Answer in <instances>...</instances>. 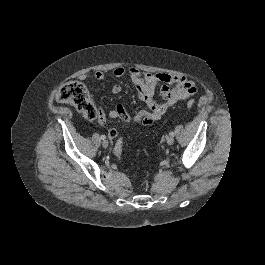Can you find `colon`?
<instances>
[{
	"label": "colon",
	"instance_id": "obj_1",
	"mask_svg": "<svg viewBox=\"0 0 265 265\" xmlns=\"http://www.w3.org/2000/svg\"><path fill=\"white\" fill-rule=\"evenodd\" d=\"M56 99L60 103L69 104L79 111L87 120L99 118L101 111L92 102L85 86L77 81L67 82L62 85L56 92ZM188 108L194 106V101L189 100L186 103ZM123 138L120 137L115 141L114 153L117 157H121L123 149ZM137 175L134 174V177Z\"/></svg>",
	"mask_w": 265,
	"mask_h": 265
}]
</instances>
